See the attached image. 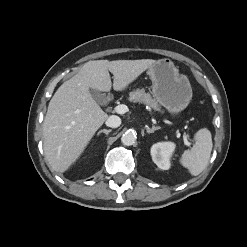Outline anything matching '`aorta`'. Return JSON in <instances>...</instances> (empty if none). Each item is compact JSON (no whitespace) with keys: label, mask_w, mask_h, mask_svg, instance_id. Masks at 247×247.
<instances>
[{"label":"aorta","mask_w":247,"mask_h":247,"mask_svg":"<svg viewBox=\"0 0 247 247\" xmlns=\"http://www.w3.org/2000/svg\"><path fill=\"white\" fill-rule=\"evenodd\" d=\"M136 134L133 131L125 132L121 137V142L126 146H131L136 141Z\"/></svg>","instance_id":"obj_1"}]
</instances>
